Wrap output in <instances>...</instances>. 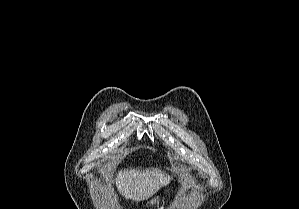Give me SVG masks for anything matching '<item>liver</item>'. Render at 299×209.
<instances>
[{
    "mask_svg": "<svg viewBox=\"0 0 299 209\" xmlns=\"http://www.w3.org/2000/svg\"><path fill=\"white\" fill-rule=\"evenodd\" d=\"M170 180V176L157 168L143 171L127 169L119 172L116 186L126 199L141 201L151 197Z\"/></svg>",
    "mask_w": 299,
    "mask_h": 209,
    "instance_id": "1",
    "label": "liver"
}]
</instances>
